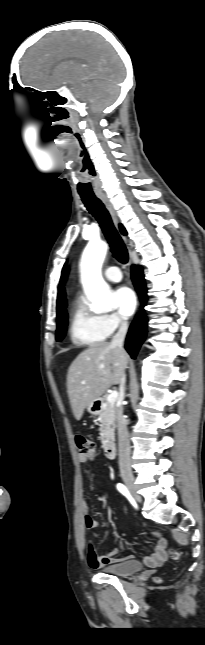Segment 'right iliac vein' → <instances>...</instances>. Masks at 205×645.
I'll return each instance as SVG.
<instances>
[{"instance_id":"obj_1","label":"right iliac vein","mask_w":205,"mask_h":645,"mask_svg":"<svg viewBox=\"0 0 205 645\" xmlns=\"http://www.w3.org/2000/svg\"><path fill=\"white\" fill-rule=\"evenodd\" d=\"M122 479L125 482V484L128 486V488L130 489V491L133 493V495L135 496L136 500L140 502L141 497L138 494H136V487H135V483H134L135 480H134L133 474L132 473H123L122 474Z\"/></svg>"}]
</instances>
